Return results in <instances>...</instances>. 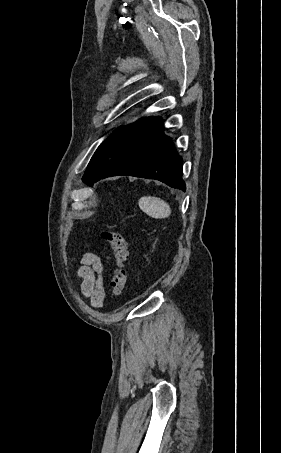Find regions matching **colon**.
<instances>
[{"instance_id":"obj_1","label":"colon","mask_w":281,"mask_h":453,"mask_svg":"<svg viewBox=\"0 0 281 453\" xmlns=\"http://www.w3.org/2000/svg\"><path fill=\"white\" fill-rule=\"evenodd\" d=\"M104 238L110 244L114 266L110 276V293L113 298L121 297L126 289L127 243L123 234L105 231Z\"/></svg>"}]
</instances>
